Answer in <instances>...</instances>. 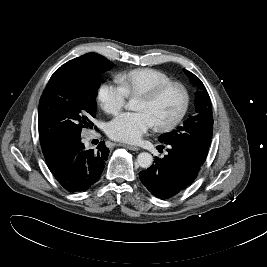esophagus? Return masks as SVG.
I'll return each instance as SVG.
<instances>
[{
	"label": "esophagus",
	"instance_id": "esophagus-1",
	"mask_svg": "<svg viewBox=\"0 0 267 267\" xmlns=\"http://www.w3.org/2000/svg\"><path fill=\"white\" fill-rule=\"evenodd\" d=\"M124 147H126L129 150H133V151H138L139 150V148L137 146L124 145Z\"/></svg>",
	"mask_w": 267,
	"mask_h": 267
}]
</instances>
